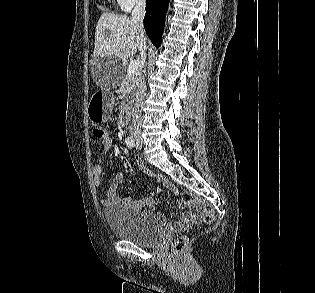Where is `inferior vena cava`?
<instances>
[{
  "label": "inferior vena cava",
  "instance_id": "inferior-vena-cava-1",
  "mask_svg": "<svg viewBox=\"0 0 315 293\" xmlns=\"http://www.w3.org/2000/svg\"><path fill=\"white\" fill-rule=\"evenodd\" d=\"M145 15V0H136V5L132 11V24L137 33V44L140 52L138 58L139 71L134 82V91H135V101L132 109V123H131V134L138 135L141 132L142 125V109L143 101L146 94V84L145 80L142 77V69L144 67V62L146 58V39L143 29V19Z\"/></svg>",
  "mask_w": 315,
  "mask_h": 293
}]
</instances>
